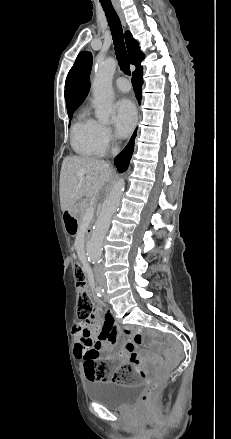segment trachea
Wrapping results in <instances>:
<instances>
[{
	"instance_id": "1",
	"label": "trachea",
	"mask_w": 231,
	"mask_h": 439,
	"mask_svg": "<svg viewBox=\"0 0 231 439\" xmlns=\"http://www.w3.org/2000/svg\"><path fill=\"white\" fill-rule=\"evenodd\" d=\"M101 5L107 17V21L110 27V31L113 38L114 50L118 60L120 69L130 75V63L124 43L123 30L120 19L114 10L111 2H102Z\"/></svg>"
}]
</instances>
